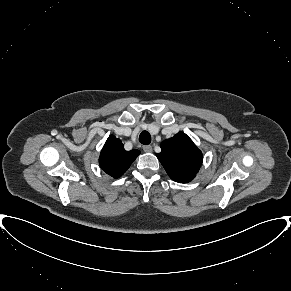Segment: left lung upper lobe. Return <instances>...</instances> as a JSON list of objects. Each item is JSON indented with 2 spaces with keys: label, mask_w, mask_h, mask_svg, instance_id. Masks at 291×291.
<instances>
[{
  "label": "left lung upper lobe",
  "mask_w": 291,
  "mask_h": 291,
  "mask_svg": "<svg viewBox=\"0 0 291 291\" xmlns=\"http://www.w3.org/2000/svg\"><path fill=\"white\" fill-rule=\"evenodd\" d=\"M169 177L179 183L190 182L202 164V153L183 132L161 143L156 154Z\"/></svg>",
  "instance_id": "obj_1"
}]
</instances>
